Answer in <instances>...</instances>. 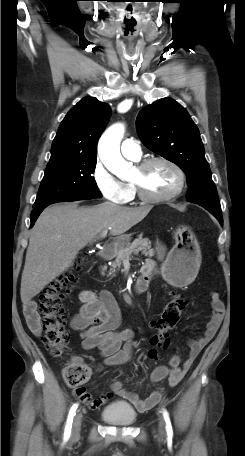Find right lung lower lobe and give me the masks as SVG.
<instances>
[{
  "label": "right lung lower lobe",
  "instance_id": "right-lung-lower-lobe-1",
  "mask_svg": "<svg viewBox=\"0 0 245 456\" xmlns=\"http://www.w3.org/2000/svg\"><path fill=\"white\" fill-rule=\"evenodd\" d=\"M85 199H89V198H85ZM76 200H81V199H71V200H68V201H65V202H69V201H76ZM47 206H44V207H40V208H34L33 211H32V214H31V227L34 225L35 221L37 220L38 216L40 215V213L46 208Z\"/></svg>",
  "mask_w": 245,
  "mask_h": 456
}]
</instances>
